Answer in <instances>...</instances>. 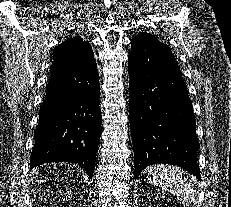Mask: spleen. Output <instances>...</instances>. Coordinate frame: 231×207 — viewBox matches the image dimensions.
I'll use <instances>...</instances> for the list:
<instances>
[{"label": "spleen", "instance_id": "spleen-1", "mask_svg": "<svg viewBox=\"0 0 231 207\" xmlns=\"http://www.w3.org/2000/svg\"><path fill=\"white\" fill-rule=\"evenodd\" d=\"M147 179L156 186L175 195L186 206L196 202V190L184 170L167 165H154L146 169Z\"/></svg>", "mask_w": 231, "mask_h": 207}]
</instances>
